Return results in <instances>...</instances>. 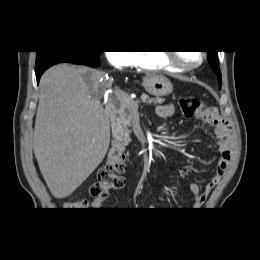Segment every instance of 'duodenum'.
<instances>
[{
	"label": "duodenum",
	"mask_w": 260,
	"mask_h": 260,
	"mask_svg": "<svg viewBox=\"0 0 260 260\" xmlns=\"http://www.w3.org/2000/svg\"><path fill=\"white\" fill-rule=\"evenodd\" d=\"M106 112H107L109 118H110L111 120H114V118H115V116H116V110H115L114 106L108 104V105L106 106ZM113 149H114V151H116V152H122V151H123L122 147L120 146V144H119L117 141H114V143H113Z\"/></svg>",
	"instance_id": "duodenum-1"
}]
</instances>
